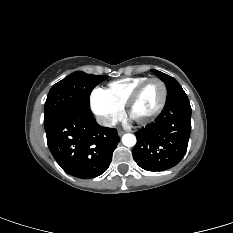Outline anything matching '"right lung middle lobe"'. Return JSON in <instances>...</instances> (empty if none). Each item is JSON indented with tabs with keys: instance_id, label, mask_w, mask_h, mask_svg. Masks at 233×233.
<instances>
[{
	"instance_id": "1",
	"label": "right lung middle lobe",
	"mask_w": 233,
	"mask_h": 233,
	"mask_svg": "<svg viewBox=\"0 0 233 233\" xmlns=\"http://www.w3.org/2000/svg\"><path fill=\"white\" fill-rule=\"evenodd\" d=\"M105 79L107 76L77 71L53 85L45 103L44 120L69 109L89 108L92 90Z\"/></svg>"
}]
</instances>
